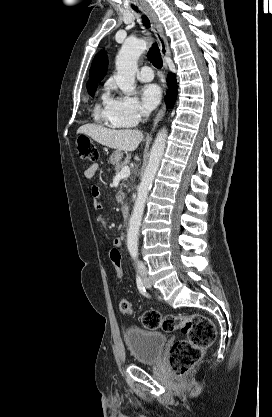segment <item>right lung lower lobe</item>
Segmentation results:
<instances>
[{"label":"right lung lower lobe","instance_id":"obj_1","mask_svg":"<svg viewBox=\"0 0 272 417\" xmlns=\"http://www.w3.org/2000/svg\"><path fill=\"white\" fill-rule=\"evenodd\" d=\"M167 82H168L169 90H168L167 96L165 97V101H166L167 107L172 108L177 97V86H176L175 75L169 74L167 78Z\"/></svg>","mask_w":272,"mask_h":417}]
</instances>
